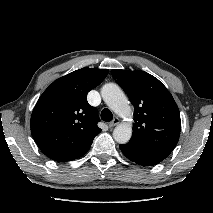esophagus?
Wrapping results in <instances>:
<instances>
[{
	"label": "esophagus",
	"mask_w": 213,
	"mask_h": 213,
	"mask_svg": "<svg viewBox=\"0 0 213 213\" xmlns=\"http://www.w3.org/2000/svg\"><path fill=\"white\" fill-rule=\"evenodd\" d=\"M120 122L119 118H114L110 123H109V127H114L116 125H118Z\"/></svg>",
	"instance_id": "obj_1"
}]
</instances>
